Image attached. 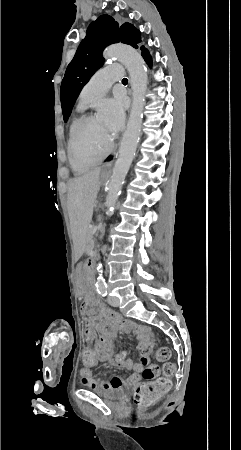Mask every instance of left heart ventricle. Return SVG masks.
<instances>
[{
  "label": "left heart ventricle",
  "mask_w": 241,
  "mask_h": 450,
  "mask_svg": "<svg viewBox=\"0 0 241 450\" xmlns=\"http://www.w3.org/2000/svg\"><path fill=\"white\" fill-rule=\"evenodd\" d=\"M80 140L75 143L77 155L86 169H95V160H104L109 152L114 135L110 126L98 115H91L89 121H84L80 127ZM93 157L95 160H93Z\"/></svg>",
  "instance_id": "b2bd125f"
}]
</instances>
